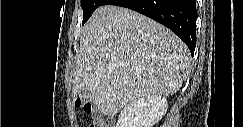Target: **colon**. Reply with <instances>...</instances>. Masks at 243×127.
Instances as JSON below:
<instances>
[{"label":"colon","instance_id":"colon-1","mask_svg":"<svg viewBox=\"0 0 243 127\" xmlns=\"http://www.w3.org/2000/svg\"><path fill=\"white\" fill-rule=\"evenodd\" d=\"M76 106L83 110L84 113L89 115L92 119L91 127L102 126L101 117L95 112L93 106L90 103H83L80 99L76 101Z\"/></svg>","mask_w":243,"mask_h":127}]
</instances>
